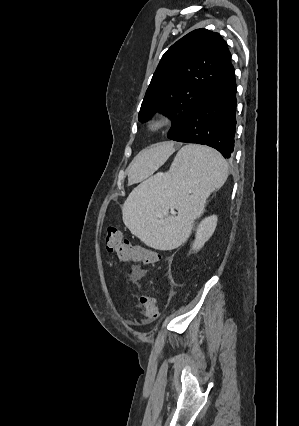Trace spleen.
I'll return each instance as SVG.
<instances>
[{"instance_id": "3e777b00", "label": "spleen", "mask_w": 299, "mask_h": 426, "mask_svg": "<svg viewBox=\"0 0 299 426\" xmlns=\"http://www.w3.org/2000/svg\"><path fill=\"white\" fill-rule=\"evenodd\" d=\"M228 175V164L218 151L186 145L168 172L144 180L130 193L122 208L123 222L147 246L175 249L187 239L207 198ZM172 209L177 216L169 215Z\"/></svg>"}]
</instances>
